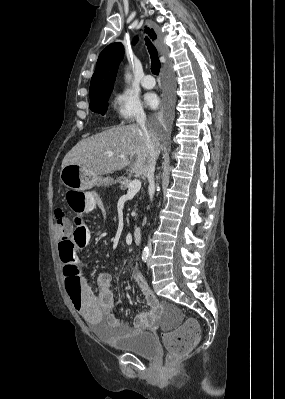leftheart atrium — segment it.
<instances>
[{"mask_svg": "<svg viewBox=\"0 0 285 399\" xmlns=\"http://www.w3.org/2000/svg\"><path fill=\"white\" fill-rule=\"evenodd\" d=\"M146 101H147V103H148V105L151 107V108H156L157 106H158V104H159V99H158V97L156 96V95H154V94H149L147 97H146Z\"/></svg>", "mask_w": 285, "mask_h": 399, "instance_id": "obj_1", "label": "left heart atrium"}]
</instances>
